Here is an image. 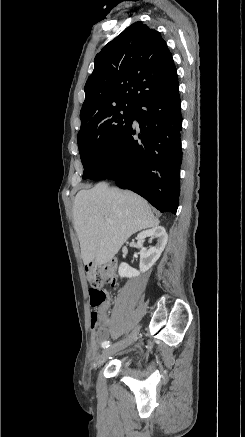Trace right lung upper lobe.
<instances>
[{
	"label": "right lung upper lobe",
	"mask_w": 245,
	"mask_h": 437,
	"mask_svg": "<svg viewBox=\"0 0 245 437\" xmlns=\"http://www.w3.org/2000/svg\"><path fill=\"white\" fill-rule=\"evenodd\" d=\"M84 90L81 125L106 108L134 105L179 86L172 54L161 33L138 21L104 46Z\"/></svg>",
	"instance_id": "right-lung-upper-lobe-1"
}]
</instances>
